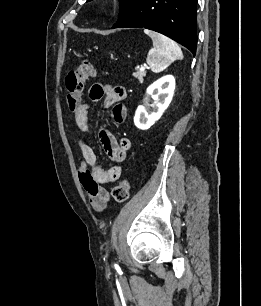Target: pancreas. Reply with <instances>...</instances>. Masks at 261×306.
<instances>
[{
    "label": "pancreas",
    "instance_id": "pancreas-1",
    "mask_svg": "<svg viewBox=\"0 0 261 306\" xmlns=\"http://www.w3.org/2000/svg\"><path fill=\"white\" fill-rule=\"evenodd\" d=\"M133 76L139 80L140 83L143 82V77L146 76V71H137L133 73Z\"/></svg>",
    "mask_w": 261,
    "mask_h": 306
}]
</instances>
